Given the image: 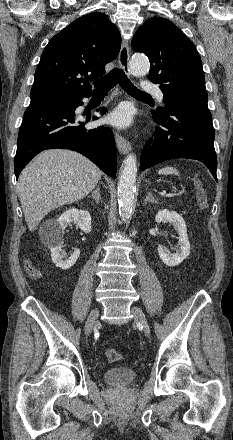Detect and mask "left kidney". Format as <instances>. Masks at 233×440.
Returning <instances> with one entry per match:
<instances>
[{
  "label": "left kidney",
  "instance_id": "5707ae66",
  "mask_svg": "<svg viewBox=\"0 0 233 440\" xmlns=\"http://www.w3.org/2000/svg\"><path fill=\"white\" fill-rule=\"evenodd\" d=\"M167 220L171 223L174 229L178 232V247L176 253L169 254L163 246L158 247V254L162 262L169 266L174 267L183 262L190 254V243L187 236V228L184 219L175 211H169L167 209L160 210L155 216V221L160 223Z\"/></svg>",
  "mask_w": 233,
  "mask_h": 440
}]
</instances>
